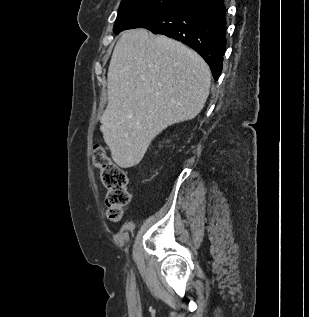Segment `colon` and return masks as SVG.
Instances as JSON below:
<instances>
[{"instance_id":"1","label":"colon","mask_w":309,"mask_h":317,"mask_svg":"<svg viewBox=\"0 0 309 317\" xmlns=\"http://www.w3.org/2000/svg\"><path fill=\"white\" fill-rule=\"evenodd\" d=\"M93 151L94 166L100 170L101 181L107 189V217L110 221L117 222L131 198L127 189L126 172L110 159L101 146H95Z\"/></svg>"}]
</instances>
